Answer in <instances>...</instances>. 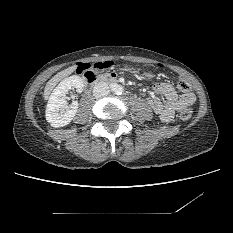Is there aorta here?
<instances>
[{
    "mask_svg": "<svg viewBox=\"0 0 233 233\" xmlns=\"http://www.w3.org/2000/svg\"><path fill=\"white\" fill-rule=\"evenodd\" d=\"M114 92L116 94H120L122 92V87L120 85H116L114 88Z\"/></svg>",
    "mask_w": 233,
    "mask_h": 233,
    "instance_id": "obj_1",
    "label": "aorta"
}]
</instances>
